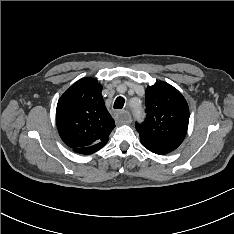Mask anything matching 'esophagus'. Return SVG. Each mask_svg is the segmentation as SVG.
<instances>
[{
	"instance_id": "obj_1",
	"label": "esophagus",
	"mask_w": 234,
	"mask_h": 234,
	"mask_svg": "<svg viewBox=\"0 0 234 234\" xmlns=\"http://www.w3.org/2000/svg\"><path fill=\"white\" fill-rule=\"evenodd\" d=\"M119 116L125 123H130L132 121L131 114L127 110L121 111Z\"/></svg>"
}]
</instances>
